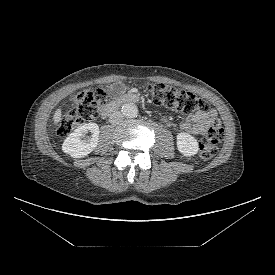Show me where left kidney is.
<instances>
[{
  "instance_id": "obj_1",
  "label": "left kidney",
  "mask_w": 275,
  "mask_h": 275,
  "mask_svg": "<svg viewBox=\"0 0 275 275\" xmlns=\"http://www.w3.org/2000/svg\"><path fill=\"white\" fill-rule=\"evenodd\" d=\"M177 148L184 156L195 155L199 149L197 140L188 133L177 135Z\"/></svg>"
}]
</instances>
